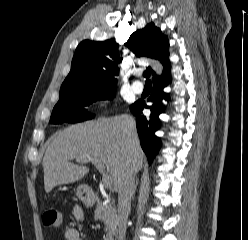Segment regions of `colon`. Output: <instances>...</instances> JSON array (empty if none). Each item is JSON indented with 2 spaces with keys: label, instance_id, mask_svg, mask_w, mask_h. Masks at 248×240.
Instances as JSON below:
<instances>
[{
  "label": "colon",
  "instance_id": "colon-1",
  "mask_svg": "<svg viewBox=\"0 0 248 240\" xmlns=\"http://www.w3.org/2000/svg\"><path fill=\"white\" fill-rule=\"evenodd\" d=\"M43 224L46 227L58 228L62 225L63 216L59 210L50 208L47 209L43 214Z\"/></svg>",
  "mask_w": 248,
  "mask_h": 240
}]
</instances>
